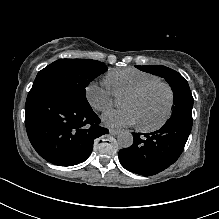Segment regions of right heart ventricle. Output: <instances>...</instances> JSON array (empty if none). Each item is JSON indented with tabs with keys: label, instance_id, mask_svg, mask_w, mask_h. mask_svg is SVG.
I'll return each mask as SVG.
<instances>
[{
	"label": "right heart ventricle",
	"instance_id": "right-heart-ventricle-1",
	"mask_svg": "<svg viewBox=\"0 0 219 219\" xmlns=\"http://www.w3.org/2000/svg\"><path fill=\"white\" fill-rule=\"evenodd\" d=\"M156 80L160 78L133 67L112 71L106 77V82L115 97L125 96L139 86Z\"/></svg>",
	"mask_w": 219,
	"mask_h": 219
}]
</instances>
